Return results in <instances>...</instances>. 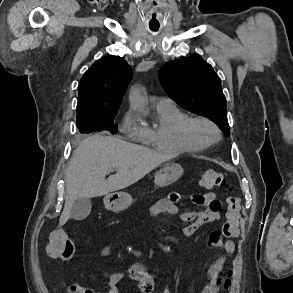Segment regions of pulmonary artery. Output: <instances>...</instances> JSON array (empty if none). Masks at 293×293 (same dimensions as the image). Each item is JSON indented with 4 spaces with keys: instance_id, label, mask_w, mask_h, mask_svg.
<instances>
[{
    "instance_id": "e3ab8cb5",
    "label": "pulmonary artery",
    "mask_w": 293,
    "mask_h": 293,
    "mask_svg": "<svg viewBox=\"0 0 293 293\" xmlns=\"http://www.w3.org/2000/svg\"><path fill=\"white\" fill-rule=\"evenodd\" d=\"M173 103L169 98L161 97L157 101V106H163Z\"/></svg>"
}]
</instances>
